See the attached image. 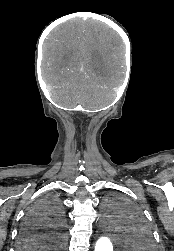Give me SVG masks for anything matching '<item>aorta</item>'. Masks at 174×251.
I'll return each mask as SVG.
<instances>
[{"mask_svg": "<svg viewBox=\"0 0 174 251\" xmlns=\"http://www.w3.org/2000/svg\"><path fill=\"white\" fill-rule=\"evenodd\" d=\"M126 230L123 223L118 218L109 217L104 219L101 224V235L97 239L94 251H113V243L110 238L112 236H124Z\"/></svg>", "mask_w": 174, "mask_h": 251, "instance_id": "1", "label": "aorta"}]
</instances>
